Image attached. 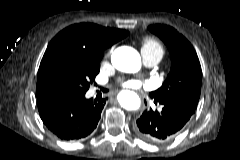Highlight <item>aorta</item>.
<instances>
[{"instance_id":"aorta-1","label":"aorta","mask_w":240,"mask_h":160,"mask_svg":"<svg viewBox=\"0 0 240 160\" xmlns=\"http://www.w3.org/2000/svg\"><path fill=\"white\" fill-rule=\"evenodd\" d=\"M113 66L123 72H135L140 68L141 58L139 53L127 46L118 47L111 55ZM118 101L126 110H136L140 106L139 96L129 90L119 93Z\"/></svg>"}]
</instances>
